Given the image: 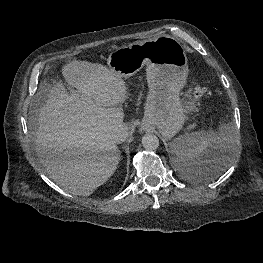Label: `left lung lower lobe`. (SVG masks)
Masks as SVG:
<instances>
[{"label": "left lung lower lobe", "instance_id": "obj_1", "mask_svg": "<svg viewBox=\"0 0 263 263\" xmlns=\"http://www.w3.org/2000/svg\"><path fill=\"white\" fill-rule=\"evenodd\" d=\"M222 166V153L216 147L210 153L200 155L194 161L187 163L180 162L179 164L181 171L185 175L200 179H206L216 174Z\"/></svg>", "mask_w": 263, "mask_h": 263}]
</instances>
